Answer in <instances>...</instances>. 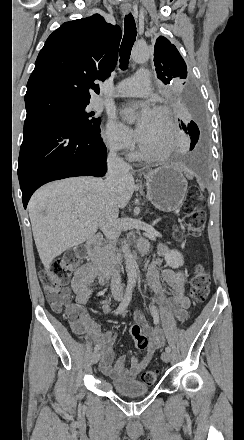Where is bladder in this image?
Returning <instances> with one entry per match:
<instances>
[{"label": "bladder", "instance_id": "bladder-1", "mask_svg": "<svg viewBox=\"0 0 244 440\" xmlns=\"http://www.w3.org/2000/svg\"><path fill=\"white\" fill-rule=\"evenodd\" d=\"M114 392H119L124 396H135L147 394L150 391L149 385H145L141 379L137 380H117L113 382Z\"/></svg>", "mask_w": 244, "mask_h": 440}]
</instances>
